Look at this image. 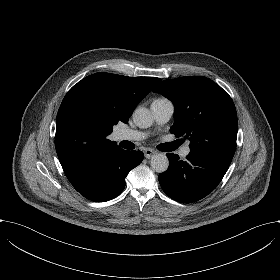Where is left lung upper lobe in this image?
<instances>
[{
  "label": "left lung upper lobe",
  "mask_w": 280,
  "mask_h": 280,
  "mask_svg": "<svg viewBox=\"0 0 280 280\" xmlns=\"http://www.w3.org/2000/svg\"><path fill=\"white\" fill-rule=\"evenodd\" d=\"M174 104L170 132L188 138L190 151L229 159L236 149L238 121L231 97L206 77L168 79L154 89Z\"/></svg>",
  "instance_id": "1"
}]
</instances>
